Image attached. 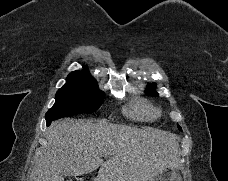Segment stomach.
<instances>
[{
    "instance_id": "0dacf381",
    "label": "stomach",
    "mask_w": 228,
    "mask_h": 181,
    "mask_svg": "<svg viewBox=\"0 0 228 181\" xmlns=\"http://www.w3.org/2000/svg\"><path fill=\"white\" fill-rule=\"evenodd\" d=\"M157 181H182V177L177 169H170V171L166 169Z\"/></svg>"
}]
</instances>
